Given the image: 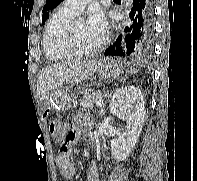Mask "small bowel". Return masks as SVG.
<instances>
[{
	"mask_svg": "<svg viewBox=\"0 0 197 181\" xmlns=\"http://www.w3.org/2000/svg\"><path fill=\"white\" fill-rule=\"evenodd\" d=\"M90 119L86 115H78L74 118L70 129H63L58 138L62 142L67 143V150L62 151L56 156V164L62 174L66 178H71L75 175L76 168L71 157V147L76 143L79 135L83 134L86 139L92 138V133L88 130ZM86 181H100L99 171L95 162L91 163L87 170Z\"/></svg>",
	"mask_w": 197,
	"mask_h": 181,
	"instance_id": "c3829d8e",
	"label": "small bowel"
}]
</instances>
